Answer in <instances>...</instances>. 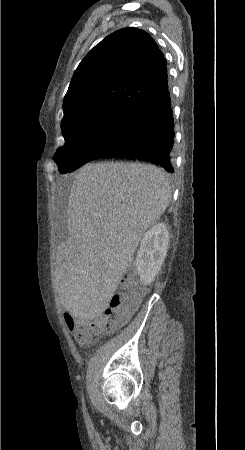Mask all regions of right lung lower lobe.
Segmentation results:
<instances>
[{"instance_id": "obj_1", "label": "right lung lower lobe", "mask_w": 245, "mask_h": 450, "mask_svg": "<svg viewBox=\"0 0 245 450\" xmlns=\"http://www.w3.org/2000/svg\"><path fill=\"white\" fill-rule=\"evenodd\" d=\"M173 127L167 86L158 96L135 111L120 140L105 152L95 154L91 160L106 157L138 159L172 173Z\"/></svg>"}]
</instances>
